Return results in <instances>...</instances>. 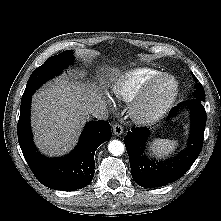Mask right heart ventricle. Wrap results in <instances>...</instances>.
Here are the masks:
<instances>
[{
	"mask_svg": "<svg viewBox=\"0 0 221 221\" xmlns=\"http://www.w3.org/2000/svg\"><path fill=\"white\" fill-rule=\"evenodd\" d=\"M162 72L148 67H137L124 72L112 86V95L125 103L132 102L143 86Z\"/></svg>",
	"mask_w": 221,
	"mask_h": 221,
	"instance_id": "e07e8e85",
	"label": "right heart ventricle"
}]
</instances>
